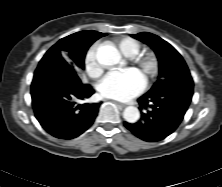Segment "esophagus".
<instances>
[{"label": "esophagus", "mask_w": 222, "mask_h": 187, "mask_svg": "<svg viewBox=\"0 0 222 187\" xmlns=\"http://www.w3.org/2000/svg\"><path fill=\"white\" fill-rule=\"evenodd\" d=\"M115 103H116L117 105L121 106V107H126L125 104H122V103H120V102L115 101Z\"/></svg>", "instance_id": "34e87169"}]
</instances>
